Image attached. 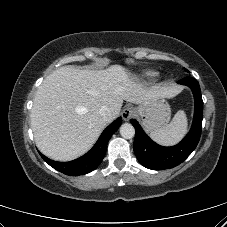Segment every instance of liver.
I'll use <instances>...</instances> for the list:
<instances>
[{
	"label": "liver",
	"instance_id": "obj_1",
	"mask_svg": "<svg viewBox=\"0 0 227 227\" xmlns=\"http://www.w3.org/2000/svg\"><path fill=\"white\" fill-rule=\"evenodd\" d=\"M176 92L172 87L147 88L118 64L103 70L60 67L44 79L34 98L31 127L35 143L51 159H76L119 115L123 100L142 105ZM104 105L112 112L108 121L99 114Z\"/></svg>",
	"mask_w": 227,
	"mask_h": 227
}]
</instances>
